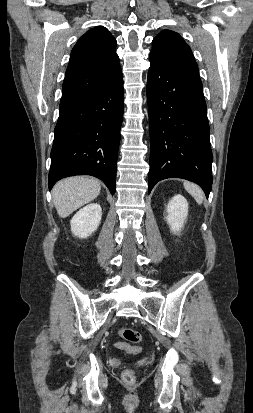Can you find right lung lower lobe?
<instances>
[{
  "label": "right lung lower lobe",
  "instance_id": "obj_1",
  "mask_svg": "<svg viewBox=\"0 0 253 413\" xmlns=\"http://www.w3.org/2000/svg\"><path fill=\"white\" fill-rule=\"evenodd\" d=\"M123 110L122 72L91 94L60 105L51 150L49 189L64 177L91 175L115 193Z\"/></svg>",
  "mask_w": 253,
  "mask_h": 413
}]
</instances>
